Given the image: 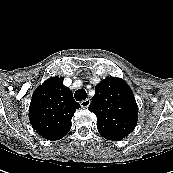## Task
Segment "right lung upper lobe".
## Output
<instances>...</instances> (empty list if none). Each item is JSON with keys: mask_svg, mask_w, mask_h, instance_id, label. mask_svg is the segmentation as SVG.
Returning <instances> with one entry per match:
<instances>
[{"mask_svg": "<svg viewBox=\"0 0 173 173\" xmlns=\"http://www.w3.org/2000/svg\"><path fill=\"white\" fill-rule=\"evenodd\" d=\"M80 104L63 78L51 77L38 87L31 99L29 120L36 132L47 140H59L71 129V119Z\"/></svg>", "mask_w": 173, "mask_h": 173, "instance_id": "1", "label": "right lung upper lobe"}]
</instances>
